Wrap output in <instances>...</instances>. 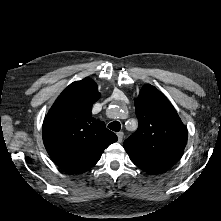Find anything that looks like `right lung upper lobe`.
Instances as JSON below:
<instances>
[{"instance_id": "1", "label": "right lung upper lobe", "mask_w": 221, "mask_h": 221, "mask_svg": "<svg viewBox=\"0 0 221 221\" xmlns=\"http://www.w3.org/2000/svg\"><path fill=\"white\" fill-rule=\"evenodd\" d=\"M100 98L90 78L70 84L57 98L43 123V141L49 156L66 170L98 161L104 149L117 141L103 121L92 117V105Z\"/></svg>"}]
</instances>
